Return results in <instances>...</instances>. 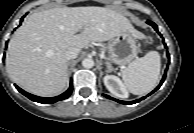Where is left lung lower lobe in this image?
I'll return each instance as SVG.
<instances>
[{"mask_svg": "<svg viewBox=\"0 0 194 133\" xmlns=\"http://www.w3.org/2000/svg\"><path fill=\"white\" fill-rule=\"evenodd\" d=\"M147 23H148L149 25H151V26L158 32L157 25H156L155 23H153V22L150 21V20L147 21ZM159 34H160V33H159ZM165 47H166V44H165ZM167 56H168V58H169V53H168V52H167ZM165 77H166V71H165L164 76H163V78H162L160 84L158 85V87H157L155 90H153L150 94H148L147 96L151 95L152 93H154L156 90H158V89L160 88V86L162 85V83H163L164 80H165ZM103 96L107 97L108 99L115 100V101H117V102H119V103H121V104H125V105L138 103L139 101H141V100H143V99H145V98L147 97V96H144V97H142L141 99H137V100H135V101L127 102V101L116 100V99H114V98H112V97H110V96H108V95H105V94H103Z\"/></svg>", "mask_w": 194, "mask_h": 133, "instance_id": "left-lung-lower-lobe-1", "label": "left lung lower lobe"}]
</instances>
